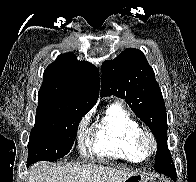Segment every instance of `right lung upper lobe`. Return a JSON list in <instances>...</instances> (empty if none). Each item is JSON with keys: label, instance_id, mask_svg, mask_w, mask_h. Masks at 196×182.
<instances>
[{"label": "right lung upper lobe", "instance_id": "obj_1", "mask_svg": "<svg viewBox=\"0 0 196 182\" xmlns=\"http://www.w3.org/2000/svg\"><path fill=\"white\" fill-rule=\"evenodd\" d=\"M99 93V71L73 52L60 55L43 74L37 111L65 109L86 114Z\"/></svg>", "mask_w": 196, "mask_h": 182}]
</instances>
